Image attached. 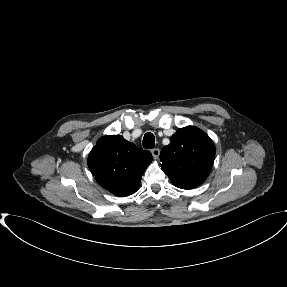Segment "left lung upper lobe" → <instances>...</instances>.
Listing matches in <instances>:
<instances>
[{
    "instance_id": "1",
    "label": "left lung upper lobe",
    "mask_w": 287,
    "mask_h": 287,
    "mask_svg": "<svg viewBox=\"0 0 287 287\" xmlns=\"http://www.w3.org/2000/svg\"><path fill=\"white\" fill-rule=\"evenodd\" d=\"M215 146L210 137L193 126L180 128L160 153L162 170L178 188L193 189L208 177L213 166Z\"/></svg>"
}]
</instances>
